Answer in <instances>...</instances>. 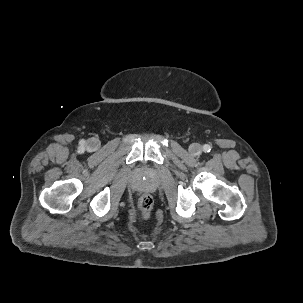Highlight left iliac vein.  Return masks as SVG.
I'll list each match as a JSON object with an SVG mask.
<instances>
[{
	"label": "left iliac vein",
	"instance_id": "4c4485c4",
	"mask_svg": "<svg viewBox=\"0 0 303 303\" xmlns=\"http://www.w3.org/2000/svg\"><path fill=\"white\" fill-rule=\"evenodd\" d=\"M201 151H202V147H201V145H199L197 143L191 144L189 147V152L192 155H199L201 153Z\"/></svg>",
	"mask_w": 303,
	"mask_h": 303
}]
</instances>
